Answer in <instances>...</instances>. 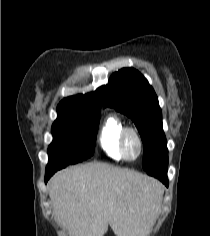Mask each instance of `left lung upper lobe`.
Returning <instances> with one entry per match:
<instances>
[{"instance_id": "obj_1", "label": "left lung upper lobe", "mask_w": 210, "mask_h": 236, "mask_svg": "<svg viewBox=\"0 0 210 236\" xmlns=\"http://www.w3.org/2000/svg\"><path fill=\"white\" fill-rule=\"evenodd\" d=\"M103 106L115 108L135 123L144 146L146 171L168 157L158 98L147 79L133 68L115 72L103 87Z\"/></svg>"}]
</instances>
